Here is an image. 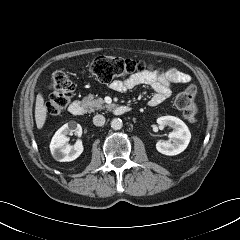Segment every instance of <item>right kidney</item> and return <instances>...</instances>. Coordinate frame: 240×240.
Masks as SVG:
<instances>
[{"label":"right kidney","mask_w":240,"mask_h":240,"mask_svg":"<svg viewBox=\"0 0 240 240\" xmlns=\"http://www.w3.org/2000/svg\"><path fill=\"white\" fill-rule=\"evenodd\" d=\"M68 134L81 136L82 127L72 121L64 124L56 131L50 143V151L57 161H73L78 158L84 150L83 144L80 140H78L73 146L68 144Z\"/></svg>","instance_id":"obj_1"}]
</instances>
